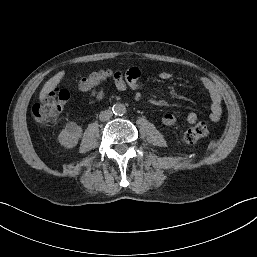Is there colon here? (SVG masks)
Wrapping results in <instances>:
<instances>
[{
    "label": "colon",
    "mask_w": 257,
    "mask_h": 257,
    "mask_svg": "<svg viewBox=\"0 0 257 257\" xmlns=\"http://www.w3.org/2000/svg\"><path fill=\"white\" fill-rule=\"evenodd\" d=\"M108 76L106 72H94L80 82L81 91L87 92L94 88H101ZM70 99V93L66 89L56 88L47 93L40 102L32 107L34 118L39 122H52L58 118L63 106ZM210 133V124L207 121H200L189 127L183 134V141L193 144L206 137Z\"/></svg>",
    "instance_id": "1"
}]
</instances>
